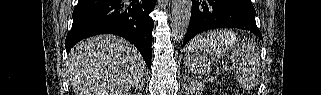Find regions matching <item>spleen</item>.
I'll list each match as a JSON object with an SVG mask.
<instances>
[{
  "instance_id": "1",
  "label": "spleen",
  "mask_w": 321,
  "mask_h": 95,
  "mask_svg": "<svg viewBox=\"0 0 321 95\" xmlns=\"http://www.w3.org/2000/svg\"><path fill=\"white\" fill-rule=\"evenodd\" d=\"M229 32H208L193 40L195 46L206 43H213L224 40ZM230 59L236 64L235 79L245 90L253 89L260 76V55L259 49L253 40L244 37L242 45L234 50ZM212 62L207 58L206 53L188 54L185 58V66L194 74L204 75L211 71Z\"/></svg>"
}]
</instances>
